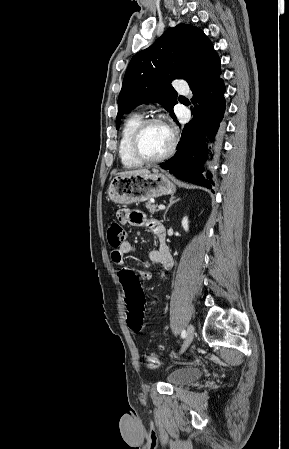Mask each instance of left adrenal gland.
Returning a JSON list of instances; mask_svg holds the SVG:
<instances>
[{
  "instance_id": "left-adrenal-gland-1",
  "label": "left adrenal gland",
  "mask_w": 289,
  "mask_h": 449,
  "mask_svg": "<svg viewBox=\"0 0 289 449\" xmlns=\"http://www.w3.org/2000/svg\"><path fill=\"white\" fill-rule=\"evenodd\" d=\"M180 199H175V197H171L170 198V200H169V205H168V207L166 208V210H165V213H164V220H165V216H166V214H167V212H168V210H169V208L175 203V202H177V201H179Z\"/></svg>"
}]
</instances>
